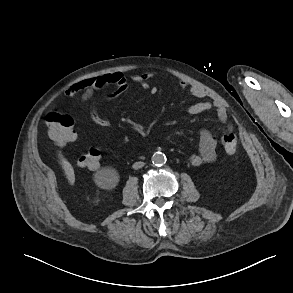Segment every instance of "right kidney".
Wrapping results in <instances>:
<instances>
[{
	"label": "right kidney",
	"instance_id": "ca27d5eb",
	"mask_svg": "<svg viewBox=\"0 0 293 293\" xmlns=\"http://www.w3.org/2000/svg\"><path fill=\"white\" fill-rule=\"evenodd\" d=\"M107 173L113 177L116 181L118 180V174L114 169H106Z\"/></svg>",
	"mask_w": 293,
	"mask_h": 293
}]
</instances>
